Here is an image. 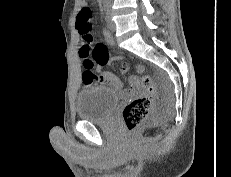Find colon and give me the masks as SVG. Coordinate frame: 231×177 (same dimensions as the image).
<instances>
[{
    "mask_svg": "<svg viewBox=\"0 0 231 177\" xmlns=\"http://www.w3.org/2000/svg\"><path fill=\"white\" fill-rule=\"evenodd\" d=\"M76 26L82 37L79 53L84 60V82L86 85H94L99 82V75L92 71L94 65H104L111 60H119L120 57H111L104 45L94 44L92 12L89 7L81 9L76 20ZM122 69L127 71V65L124 64ZM139 85L141 93L130 100L122 111L125 125L129 130L136 129L146 120L157 96L156 85L150 76L142 75L139 78Z\"/></svg>",
    "mask_w": 231,
    "mask_h": 177,
    "instance_id": "colon-1",
    "label": "colon"
}]
</instances>
